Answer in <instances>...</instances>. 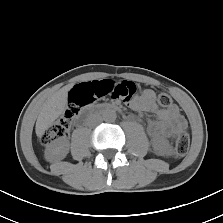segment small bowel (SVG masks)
Returning <instances> with one entry per match:
<instances>
[{"label": "small bowel", "mask_w": 223, "mask_h": 223, "mask_svg": "<svg viewBox=\"0 0 223 223\" xmlns=\"http://www.w3.org/2000/svg\"><path fill=\"white\" fill-rule=\"evenodd\" d=\"M129 106L133 110L153 112L157 116L156 120H150L147 125L149 135L155 140L172 138L187 127V121L178 107H159L156 94L151 89H145L140 96L129 102Z\"/></svg>", "instance_id": "1"}]
</instances>
